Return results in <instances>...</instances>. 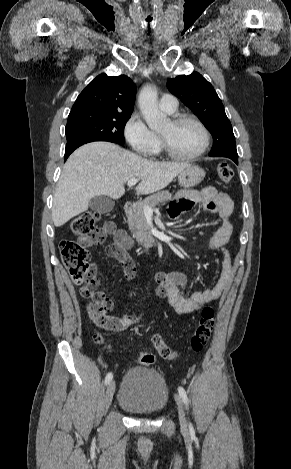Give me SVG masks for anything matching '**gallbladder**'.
Listing matches in <instances>:
<instances>
[{"label": "gallbladder", "mask_w": 291, "mask_h": 469, "mask_svg": "<svg viewBox=\"0 0 291 469\" xmlns=\"http://www.w3.org/2000/svg\"><path fill=\"white\" fill-rule=\"evenodd\" d=\"M114 205V201L106 196H95L89 201V208L98 213L110 212Z\"/></svg>", "instance_id": "bac80fb5"}]
</instances>
